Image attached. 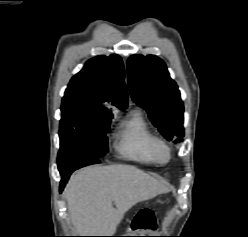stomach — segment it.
I'll list each match as a JSON object with an SVG mask.
<instances>
[{"mask_svg": "<svg viewBox=\"0 0 248 237\" xmlns=\"http://www.w3.org/2000/svg\"><path fill=\"white\" fill-rule=\"evenodd\" d=\"M131 233H134V231H132ZM132 235H135V234H132Z\"/></svg>", "mask_w": 248, "mask_h": 237, "instance_id": "stomach-1", "label": "stomach"}]
</instances>
